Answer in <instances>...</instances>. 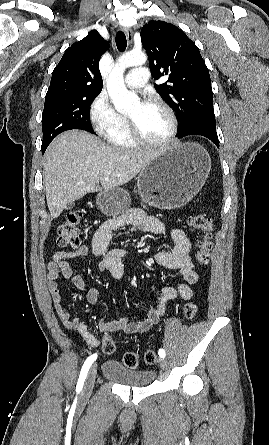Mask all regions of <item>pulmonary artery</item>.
<instances>
[{
	"label": "pulmonary artery",
	"mask_w": 269,
	"mask_h": 445,
	"mask_svg": "<svg viewBox=\"0 0 269 445\" xmlns=\"http://www.w3.org/2000/svg\"><path fill=\"white\" fill-rule=\"evenodd\" d=\"M149 79V70L146 67H136L125 77V84L129 88H140Z\"/></svg>",
	"instance_id": "pulmonary-artery-1"
}]
</instances>
